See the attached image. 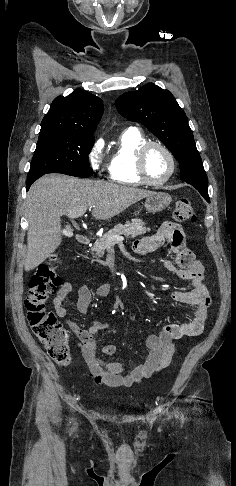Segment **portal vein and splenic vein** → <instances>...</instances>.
I'll return each mask as SVG.
<instances>
[{
  "label": "portal vein and splenic vein",
  "instance_id": "1",
  "mask_svg": "<svg viewBox=\"0 0 236 486\" xmlns=\"http://www.w3.org/2000/svg\"><path fill=\"white\" fill-rule=\"evenodd\" d=\"M86 209L87 208L74 209V210L70 211L67 215L70 218H78V217H81L82 215H84V213L86 212ZM111 240L120 243V242L124 241V237L113 236V237H111Z\"/></svg>",
  "mask_w": 236,
  "mask_h": 486
}]
</instances>
